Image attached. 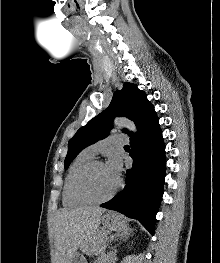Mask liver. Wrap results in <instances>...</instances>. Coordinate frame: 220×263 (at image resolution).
Listing matches in <instances>:
<instances>
[{"label": "liver", "mask_w": 220, "mask_h": 263, "mask_svg": "<svg viewBox=\"0 0 220 263\" xmlns=\"http://www.w3.org/2000/svg\"><path fill=\"white\" fill-rule=\"evenodd\" d=\"M105 209L83 206L61 209L55 216L54 246L56 263H70L83 243L98 229Z\"/></svg>", "instance_id": "6515ba94"}]
</instances>
